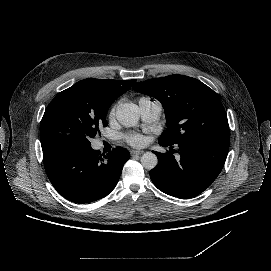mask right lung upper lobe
Segmentation results:
<instances>
[{"label": "right lung upper lobe", "mask_w": 271, "mask_h": 271, "mask_svg": "<svg viewBox=\"0 0 271 271\" xmlns=\"http://www.w3.org/2000/svg\"><path fill=\"white\" fill-rule=\"evenodd\" d=\"M136 80H105L88 78L64 90L74 93L90 109L108 111L112 102L125 93Z\"/></svg>", "instance_id": "1"}]
</instances>
